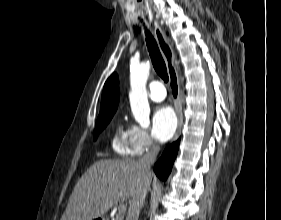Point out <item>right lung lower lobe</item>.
<instances>
[{
    "mask_svg": "<svg viewBox=\"0 0 281 220\" xmlns=\"http://www.w3.org/2000/svg\"><path fill=\"white\" fill-rule=\"evenodd\" d=\"M180 139L169 145L162 154V157L154 166V172L163 181L169 176L173 162L177 156Z\"/></svg>",
    "mask_w": 281,
    "mask_h": 220,
    "instance_id": "98d812e1",
    "label": "right lung lower lobe"
}]
</instances>
